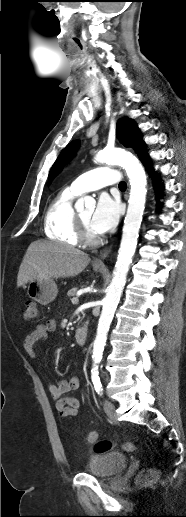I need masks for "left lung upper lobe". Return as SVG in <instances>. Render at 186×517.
<instances>
[{
	"instance_id": "1",
	"label": "left lung upper lobe",
	"mask_w": 186,
	"mask_h": 517,
	"mask_svg": "<svg viewBox=\"0 0 186 517\" xmlns=\"http://www.w3.org/2000/svg\"><path fill=\"white\" fill-rule=\"evenodd\" d=\"M116 135L120 142L126 147L137 148L138 155H142L144 151V144L139 129L136 124L126 118L118 121L116 128ZM77 147V142H72L60 153L59 157L53 164L48 182L50 183L55 175L59 173L63 165H65L74 155V151Z\"/></svg>"
}]
</instances>
